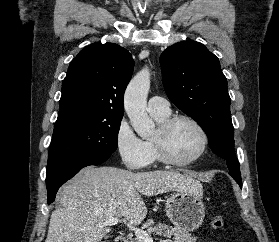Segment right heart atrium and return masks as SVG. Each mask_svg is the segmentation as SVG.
Returning <instances> with one entry per match:
<instances>
[{
    "label": "right heart atrium",
    "instance_id": "1",
    "mask_svg": "<svg viewBox=\"0 0 279 242\" xmlns=\"http://www.w3.org/2000/svg\"><path fill=\"white\" fill-rule=\"evenodd\" d=\"M115 147L122 163L129 169L145 168L152 161L145 141L135 134L125 118H122L117 125Z\"/></svg>",
    "mask_w": 279,
    "mask_h": 242
}]
</instances>
